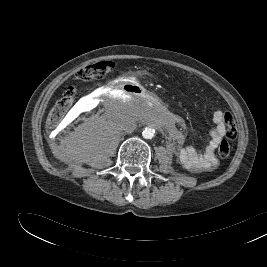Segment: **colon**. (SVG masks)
I'll list each match as a JSON object with an SVG mask.
<instances>
[{"mask_svg":"<svg viewBox=\"0 0 267 267\" xmlns=\"http://www.w3.org/2000/svg\"><path fill=\"white\" fill-rule=\"evenodd\" d=\"M112 68V65L110 62L103 61L99 62L93 65L85 66L80 68L76 74L75 77L78 80L83 81H91L95 79H99L104 74H106L110 69ZM76 91L73 87L67 88L59 98V100L56 102V104L53 106L51 111L49 112L48 118H47V124L49 126H55L57 125L62 118L65 116L69 108L72 106L74 99H75ZM226 127H227V138L233 139L236 137V127L234 120L230 114L226 116ZM231 152V146L227 140L221 141L218 147V154L222 158H226L229 156Z\"/></svg>","mask_w":267,"mask_h":267,"instance_id":"obj_1","label":"colon"}]
</instances>
